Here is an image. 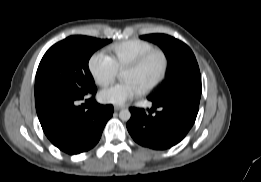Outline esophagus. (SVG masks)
<instances>
[{
    "label": "esophagus",
    "instance_id": "esophagus-1",
    "mask_svg": "<svg viewBox=\"0 0 261 182\" xmlns=\"http://www.w3.org/2000/svg\"><path fill=\"white\" fill-rule=\"evenodd\" d=\"M124 108H125V106H114V110L115 111H120V110H122Z\"/></svg>",
    "mask_w": 261,
    "mask_h": 182
}]
</instances>
